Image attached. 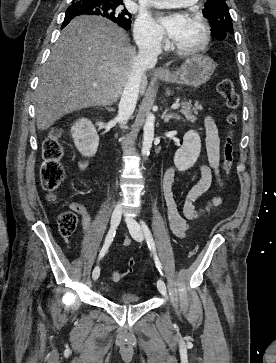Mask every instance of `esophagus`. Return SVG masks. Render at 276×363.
Returning a JSON list of instances; mask_svg holds the SVG:
<instances>
[{
  "label": "esophagus",
  "instance_id": "1",
  "mask_svg": "<svg viewBox=\"0 0 276 363\" xmlns=\"http://www.w3.org/2000/svg\"><path fill=\"white\" fill-rule=\"evenodd\" d=\"M158 73H165L166 70L162 67H160L158 70H157Z\"/></svg>",
  "mask_w": 276,
  "mask_h": 363
}]
</instances>
